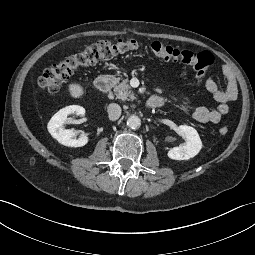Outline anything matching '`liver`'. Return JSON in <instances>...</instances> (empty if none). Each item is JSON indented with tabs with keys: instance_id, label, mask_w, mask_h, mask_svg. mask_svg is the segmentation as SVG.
<instances>
[{
	"instance_id": "obj_1",
	"label": "liver",
	"mask_w": 255,
	"mask_h": 255,
	"mask_svg": "<svg viewBox=\"0 0 255 255\" xmlns=\"http://www.w3.org/2000/svg\"><path fill=\"white\" fill-rule=\"evenodd\" d=\"M69 93L73 98H80L84 94V89L77 83H71L68 86Z\"/></svg>"
}]
</instances>
